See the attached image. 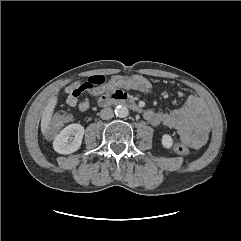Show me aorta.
<instances>
[{"label":"aorta","instance_id":"aorta-1","mask_svg":"<svg viewBox=\"0 0 241 241\" xmlns=\"http://www.w3.org/2000/svg\"><path fill=\"white\" fill-rule=\"evenodd\" d=\"M115 114L120 118H125L129 115V110L126 106L119 105L115 108Z\"/></svg>","mask_w":241,"mask_h":241}]
</instances>
